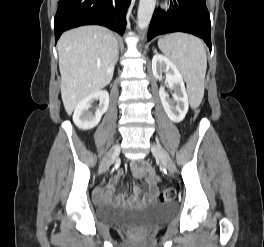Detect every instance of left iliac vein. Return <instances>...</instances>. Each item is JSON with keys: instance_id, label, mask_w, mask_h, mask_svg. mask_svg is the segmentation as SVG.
Instances as JSON below:
<instances>
[{"instance_id": "obj_1", "label": "left iliac vein", "mask_w": 264, "mask_h": 247, "mask_svg": "<svg viewBox=\"0 0 264 247\" xmlns=\"http://www.w3.org/2000/svg\"><path fill=\"white\" fill-rule=\"evenodd\" d=\"M151 151L155 158L161 161L162 165L170 172H175V165L167 151L159 144L153 143L151 145Z\"/></svg>"}]
</instances>
